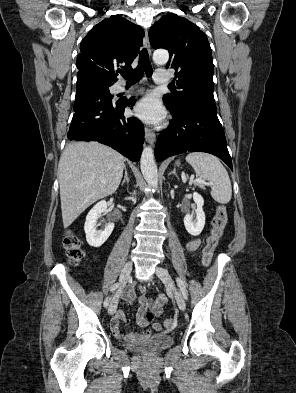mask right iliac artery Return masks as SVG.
Segmentation results:
<instances>
[{"mask_svg":"<svg viewBox=\"0 0 296 393\" xmlns=\"http://www.w3.org/2000/svg\"><path fill=\"white\" fill-rule=\"evenodd\" d=\"M119 287V283H115L112 287H111V291L116 290ZM109 305V300L108 298L105 299L104 301V307H108Z\"/></svg>","mask_w":296,"mask_h":393,"instance_id":"right-iliac-artery-1","label":"right iliac artery"}]
</instances>
